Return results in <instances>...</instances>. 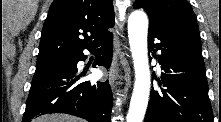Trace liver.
<instances>
[{
    "instance_id": "obj_1",
    "label": "liver",
    "mask_w": 221,
    "mask_h": 122,
    "mask_svg": "<svg viewBox=\"0 0 221 122\" xmlns=\"http://www.w3.org/2000/svg\"><path fill=\"white\" fill-rule=\"evenodd\" d=\"M33 122H83V120L67 114H49L40 116Z\"/></svg>"
}]
</instances>
